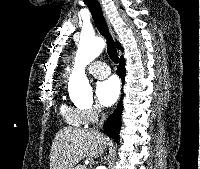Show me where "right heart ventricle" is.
Returning a JSON list of instances; mask_svg holds the SVG:
<instances>
[{"mask_svg":"<svg viewBox=\"0 0 200 169\" xmlns=\"http://www.w3.org/2000/svg\"><path fill=\"white\" fill-rule=\"evenodd\" d=\"M61 113L68 124L77 126V127H81L84 125L83 120H82V115L79 109L62 105Z\"/></svg>","mask_w":200,"mask_h":169,"instance_id":"e07e8e85","label":"right heart ventricle"}]
</instances>
